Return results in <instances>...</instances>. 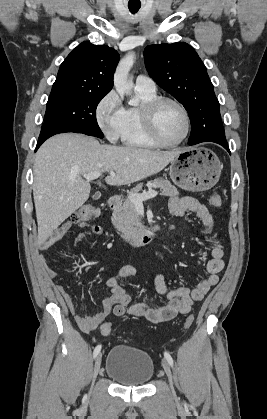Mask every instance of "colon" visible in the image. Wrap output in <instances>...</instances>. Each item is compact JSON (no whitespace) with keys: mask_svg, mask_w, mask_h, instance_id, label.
<instances>
[{"mask_svg":"<svg viewBox=\"0 0 267 419\" xmlns=\"http://www.w3.org/2000/svg\"><path fill=\"white\" fill-rule=\"evenodd\" d=\"M209 202L211 206L213 207H220L222 205V198L220 195L213 194L210 196ZM99 214L98 209L95 206L92 205H85L76 210L72 217L71 222L76 224L86 223L93 218L97 217ZM194 321V316L189 315L185 322H184V328L188 329L191 327ZM112 331V324L110 322H105L101 326V333L103 335H109Z\"/></svg>","mask_w":267,"mask_h":419,"instance_id":"1","label":"colon"}]
</instances>
